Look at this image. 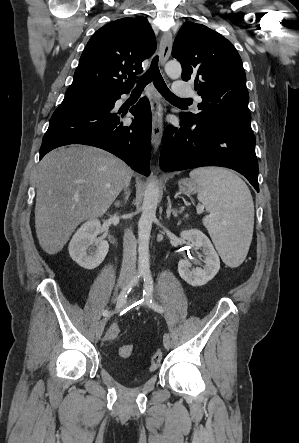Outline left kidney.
I'll return each instance as SVG.
<instances>
[{
    "label": "left kidney",
    "instance_id": "1",
    "mask_svg": "<svg viewBox=\"0 0 299 443\" xmlns=\"http://www.w3.org/2000/svg\"><path fill=\"white\" fill-rule=\"evenodd\" d=\"M180 236L191 242L195 248L202 249L205 258V266L202 268L190 269L191 263L187 259H181L178 263V272L182 279L192 286H202L218 273L220 269V259L209 238L200 230L191 229L182 231Z\"/></svg>",
    "mask_w": 299,
    "mask_h": 443
}]
</instances>
